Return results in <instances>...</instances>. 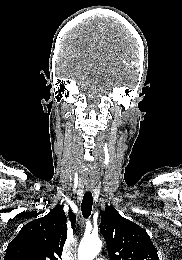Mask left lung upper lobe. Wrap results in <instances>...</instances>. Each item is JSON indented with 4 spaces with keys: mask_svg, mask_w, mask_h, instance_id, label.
Listing matches in <instances>:
<instances>
[{
    "mask_svg": "<svg viewBox=\"0 0 182 260\" xmlns=\"http://www.w3.org/2000/svg\"><path fill=\"white\" fill-rule=\"evenodd\" d=\"M100 229L111 260H159L147 232L113 206L102 212Z\"/></svg>",
    "mask_w": 182,
    "mask_h": 260,
    "instance_id": "1",
    "label": "left lung upper lobe"
}]
</instances>
